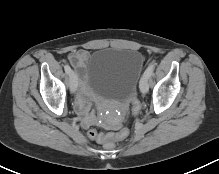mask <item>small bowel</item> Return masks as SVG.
Returning a JSON list of instances; mask_svg holds the SVG:
<instances>
[{"instance_id":"c3829d8e","label":"small bowel","mask_w":219,"mask_h":174,"mask_svg":"<svg viewBox=\"0 0 219 174\" xmlns=\"http://www.w3.org/2000/svg\"><path fill=\"white\" fill-rule=\"evenodd\" d=\"M90 57V53L87 50H76L69 54V61L76 69H83ZM89 97L88 86L83 76L81 82V90L77 96V108L79 113L82 116L83 124L85 127H88L96 120V116L89 112V107L87 104V98ZM109 129H117L118 123L115 122L108 127Z\"/></svg>"}]
</instances>
